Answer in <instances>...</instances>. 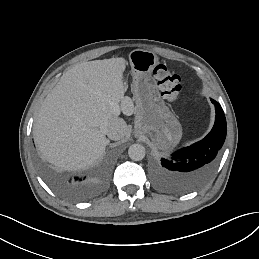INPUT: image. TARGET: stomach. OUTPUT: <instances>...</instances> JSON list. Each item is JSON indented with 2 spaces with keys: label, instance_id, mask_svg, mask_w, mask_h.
Masks as SVG:
<instances>
[{
  "label": "stomach",
  "instance_id": "obj_1",
  "mask_svg": "<svg viewBox=\"0 0 259 259\" xmlns=\"http://www.w3.org/2000/svg\"><path fill=\"white\" fill-rule=\"evenodd\" d=\"M129 62L133 75H148L158 64V57L152 51L135 49L129 53Z\"/></svg>",
  "mask_w": 259,
  "mask_h": 259
}]
</instances>
